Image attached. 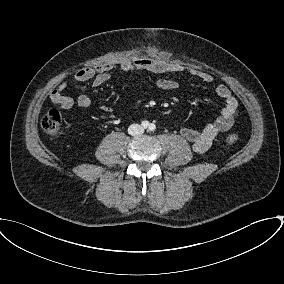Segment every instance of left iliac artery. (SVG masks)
Returning <instances> with one entry per match:
<instances>
[{
	"instance_id": "1",
	"label": "left iliac artery",
	"mask_w": 284,
	"mask_h": 284,
	"mask_svg": "<svg viewBox=\"0 0 284 284\" xmlns=\"http://www.w3.org/2000/svg\"><path fill=\"white\" fill-rule=\"evenodd\" d=\"M156 129V126L154 124H150L149 130L154 131Z\"/></svg>"
}]
</instances>
